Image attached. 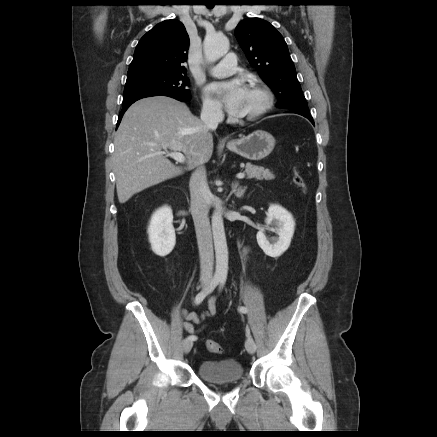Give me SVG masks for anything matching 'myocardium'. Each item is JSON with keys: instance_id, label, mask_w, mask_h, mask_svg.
Segmentation results:
<instances>
[{"instance_id": "f54148a6", "label": "myocardium", "mask_w": 437, "mask_h": 437, "mask_svg": "<svg viewBox=\"0 0 437 437\" xmlns=\"http://www.w3.org/2000/svg\"><path fill=\"white\" fill-rule=\"evenodd\" d=\"M249 88L258 91L262 95L263 101L256 111L247 115L239 116L237 118L238 121H255L266 114L273 105V95L266 86L259 83H252Z\"/></svg>"}]
</instances>
